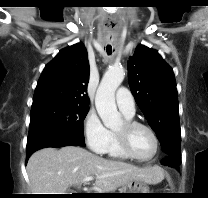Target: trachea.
I'll return each instance as SVG.
<instances>
[{
    "instance_id": "trachea-1",
    "label": "trachea",
    "mask_w": 208,
    "mask_h": 198,
    "mask_svg": "<svg viewBox=\"0 0 208 198\" xmlns=\"http://www.w3.org/2000/svg\"><path fill=\"white\" fill-rule=\"evenodd\" d=\"M106 51H107V54L110 55L112 53V47L107 46Z\"/></svg>"
}]
</instances>
